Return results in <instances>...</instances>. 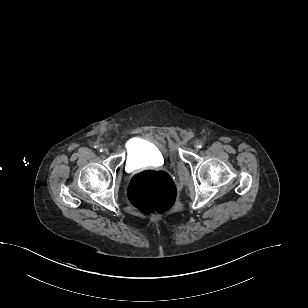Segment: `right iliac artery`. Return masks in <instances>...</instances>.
I'll use <instances>...</instances> for the list:
<instances>
[{"label": "right iliac artery", "instance_id": "obj_1", "mask_svg": "<svg viewBox=\"0 0 308 308\" xmlns=\"http://www.w3.org/2000/svg\"><path fill=\"white\" fill-rule=\"evenodd\" d=\"M95 148H97L100 152L103 151V147L102 146L97 145V146H95Z\"/></svg>", "mask_w": 308, "mask_h": 308}]
</instances>
